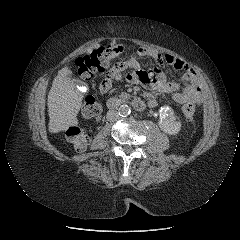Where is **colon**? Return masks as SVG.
Segmentation results:
<instances>
[{"label":"colon","instance_id":"obj_1","mask_svg":"<svg viewBox=\"0 0 240 240\" xmlns=\"http://www.w3.org/2000/svg\"><path fill=\"white\" fill-rule=\"evenodd\" d=\"M125 50L126 46L123 44H111L93 50L76 60L78 75L84 80L91 79L95 74L104 72L109 67L110 61ZM82 110L83 114L91 119H97L101 114V107L93 96L85 97ZM182 110L187 119H193L195 114L193 104H184ZM66 137L78 151L85 150L90 141L88 131L80 126L69 127L66 131Z\"/></svg>","mask_w":240,"mask_h":240}]
</instances>
